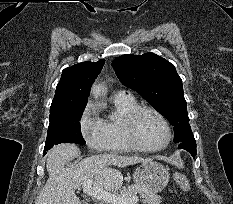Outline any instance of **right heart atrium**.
<instances>
[{
    "label": "right heart atrium",
    "mask_w": 233,
    "mask_h": 204,
    "mask_svg": "<svg viewBox=\"0 0 233 204\" xmlns=\"http://www.w3.org/2000/svg\"><path fill=\"white\" fill-rule=\"evenodd\" d=\"M81 135L92 151L107 150V139L103 120L98 116L92 103H88L79 120Z\"/></svg>",
    "instance_id": "obj_1"
}]
</instances>
